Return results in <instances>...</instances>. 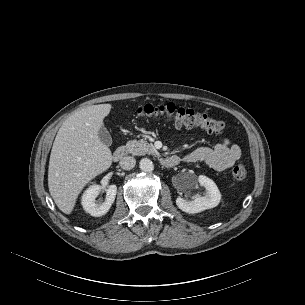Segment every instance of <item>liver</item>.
Here are the masks:
<instances>
[{
    "instance_id": "obj_1",
    "label": "liver",
    "mask_w": 305,
    "mask_h": 305,
    "mask_svg": "<svg viewBox=\"0 0 305 305\" xmlns=\"http://www.w3.org/2000/svg\"><path fill=\"white\" fill-rule=\"evenodd\" d=\"M111 104L83 108L60 127L54 140L48 168L49 192L65 214H71L84 186L112 163L110 149L98 136Z\"/></svg>"
}]
</instances>
